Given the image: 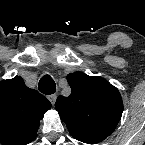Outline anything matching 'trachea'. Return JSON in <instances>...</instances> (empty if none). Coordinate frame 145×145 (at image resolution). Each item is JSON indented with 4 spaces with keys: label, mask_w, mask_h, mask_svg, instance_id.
I'll return each instance as SVG.
<instances>
[{
    "label": "trachea",
    "mask_w": 145,
    "mask_h": 145,
    "mask_svg": "<svg viewBox=\"0 0 145 145\" xmlns=\"http://www.w3.org/2000/svg\"><path fill=\"white\" fill-rule=\"evenodd\" d=\"M38 89L43 94L51 95L56 92V84L49 75H45L40 79Z\"/></svg>",
    "instance_id": "obj_1"
}]
</instances>
